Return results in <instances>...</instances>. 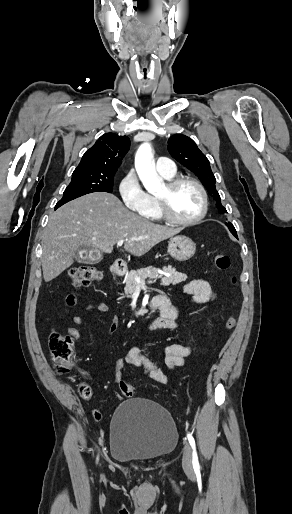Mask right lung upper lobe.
<instances>
[{"label": "right lung upper lobe", "instance_id": "right-lung-upper-lobe-1", "mask_svg": "<svg viewBox=\"0 0 292 514\" xmlns=\"http://www.w3.org/2000/svg\"><path fill=\"white\" fill-rule=\"evenodd\" d=\"M129 148L127 136L106 133L84 153L73 174L114 176Z\"/></svg>", "mask_w": 292, "mask_h": 514}]
</instances>
